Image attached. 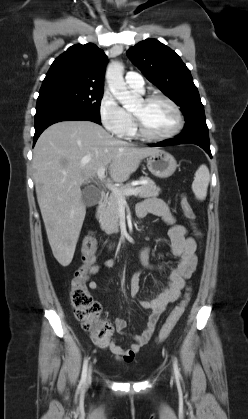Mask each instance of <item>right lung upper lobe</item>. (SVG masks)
Wrapping results in <instances>:
<instances>
[{
  "label": "right lung upper lobe",
  "instance_id": "right-lung-upper-lobe-1",
  "mask_svg": "<svg viewBox=\"0 0 248 419\" xmlns=\"http://www.w3.org/2000/svg\"><path fill=\"white\" fill-rule=\"evenodd\" d=\"M107 56L95 44H76L52 63L41 89L56 86L104 89Z\"/></svg>",
  "mask_w": 248,
  "mask_h": 419
}]
</instances>
